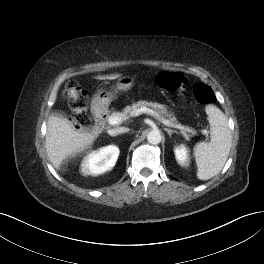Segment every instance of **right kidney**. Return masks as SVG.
I'll list each match as a JSON object with an SVG mask.
<instances>
[{"label": "right kidney", "instance_id": "right-kidney-1", "mask_svg": "<svg viewBox=\"0 0 264 264\" xmlns=\"http://www.w3.org/2000/svg\"><path fill=\"white\" fill-rule=\"evenodd\" d=\"M119 148L109 145L89 154L81 165L85 175H98L111 170L119 157Z\"/></svg>", "mask_w": 264, "mask_h": 264}]
</instances>
